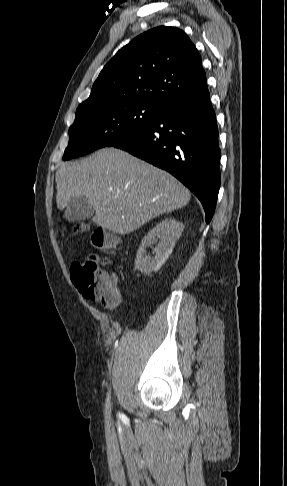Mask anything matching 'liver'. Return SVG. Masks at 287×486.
<instances>
[{
  "mask_svg": "<svg viewBox=\"0 0 287 486\" xmlns=\"http://www.w3.org/2000/svg\"><path fill=\"white\" fill-rule=\"evenodd\" d=\"M57 207L73 197L93 205L94 224L125 235L159 215L181 209L190 192L176 178L131 154L104 148L75 163H61L56 172Z\"/></svg>",
  "mask_w": 287,
  "mask_h": 486,
  "instance_id": "obj_1",
  "label": "liver"
}]
</instances>
